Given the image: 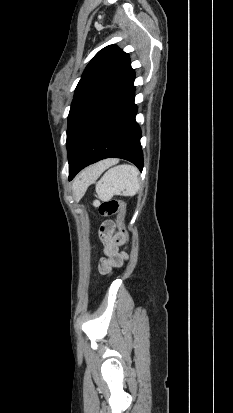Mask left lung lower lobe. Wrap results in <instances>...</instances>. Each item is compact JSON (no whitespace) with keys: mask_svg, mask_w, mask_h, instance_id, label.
<instances>
[{"mask_svg":"<svg viewBox=\"0 0 233 413\" xmlns=\"http://www.w3.org/2000/svg\"><path fill=\"white\" fill-rule=\"evenodd\" d=\"M135 72L130 75L87 127L79 147L69 162V180L84 167L99 160L116 157L143 169L141 130L135 121Z\"/></svg>","mask_w":233,"mask_h":413,"instance_id":"1","label":"left lung lower lobe"}]
</instances>
